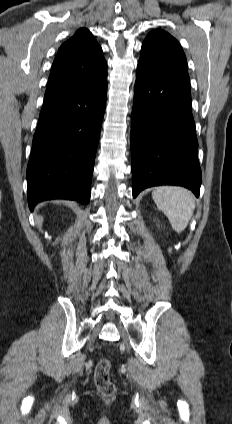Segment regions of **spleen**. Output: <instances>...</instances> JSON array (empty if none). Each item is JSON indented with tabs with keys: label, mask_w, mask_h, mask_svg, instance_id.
I'll list each match as a JSON object with an SVG mask.
<instances>
[{
	"label": "spleen",
	"mask_w": 232,
	"mask_h": 424,
	"mask_svg": "<svg viewBox=\"0 0 232 424\" xmlns=\"http://www.w3.org/2000/svg\"><path fill=\"white\" fill-rule=\"evenodd\" d=\"M152 198L177 233L187 227L195 209L191 191L178 186H160L153 190Z\"/></svg>",
	"instance_id": "obj_1"
}]
</instances>
